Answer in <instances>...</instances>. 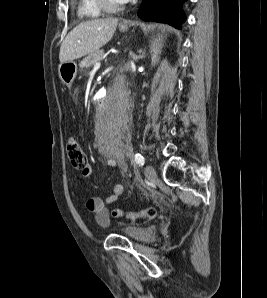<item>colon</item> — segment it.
Segmentation results:
<instances>
[{
  "mask_svg": "<svg viewBox=\"0 0 267 298\" xmlns=\"http://www.w3.org/2000/svg\"><path fill=\"white\" fill-rule=\"evenodd\" d=\"M66 152L72 166L78 170L85 172L88 162L87 155L76 138H70L66 144ZM114 217H126L131 220H153L156 217V210L154 208H146L141 211H124L122 209L113 210Z\"/></svg>",
  "mask_w": 267,
  "mask_h": 298,
  "instance_id": "obj_1",
  "label": "colon"
}]
</instances>
